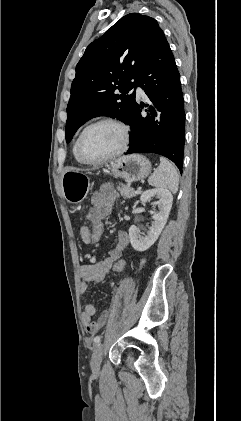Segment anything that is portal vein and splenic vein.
<instances>
[{
	"instance_id": "portal-vein-and-splenic-vein-1",
	"label": "portal vein and splenic vein",
	"mask_w": 241,
	"mask_h": 421,
	"mask_svg": "<svg viewBox=\"0 0 241 421\" xmlns=\"http://www.w3.org/2000/svg\"><path fill=\"white\" fill-rule=\"evenodd\" d=\"M135 192H136L137 194H140V193H141V190H140V189H137Z\"/></svg>"
}]
</instances>
